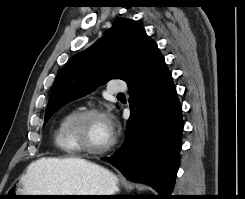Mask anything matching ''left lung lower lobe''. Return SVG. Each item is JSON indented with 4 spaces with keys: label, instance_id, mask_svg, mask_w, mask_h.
Instances as JSON below:
<instances>
[{
    "label": "left lung lower lobe",
    "instance_id": "0a47b994",
    "mask_svg": "<svg viewBox=\"0 0 245 199\" xmlns=\"http://www.w3.org/2000/svg\"><path fill=\"white\" fill-rule=\"evenodd\" d=\"M127 85L131 114L126 138L113 156L102 160L168 199L179 167L183 121L172 75L159 50Z\"/></svg>",
    "mask_w": 245,
    "mask_h": 199
}]
</instances>
